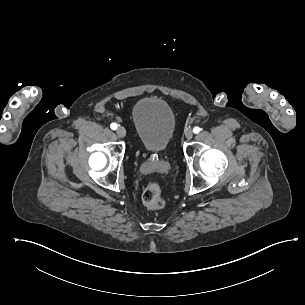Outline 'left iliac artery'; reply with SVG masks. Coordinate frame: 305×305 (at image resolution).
<instances>
[{"label": "left iliac artery", "instance_id": "44dca946", "mask_svg": "<svg viewBox=\"0 0 305 305\" xmlns=\"http://www.w3.org/2000/svg\"><path fill=\"white\" fill-rule=\"evenodd\" d=\"M201 130H202L201 128H199V127L196 126V127H194L193 132H194L195 134H197V133H199Z\"/></svg>", "mask_w": 305, "mask_h": 305}]
</instances>
